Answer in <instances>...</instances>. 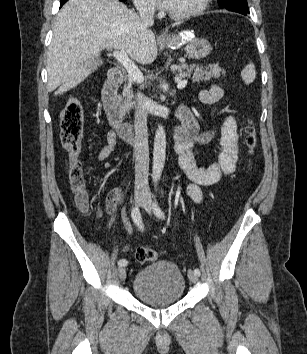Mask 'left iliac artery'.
Listing matches in <instances>:
<instances>
[{
  "label": "left iliac artery",
  "instance_id": "1",
  "mask_svg": "<svg viewBox=\"0 0 307 354\" xmlns=\"http://www.w3.org/2000/svg\"><path fill=\"white\" fill-rule=\"evenodd\" d=\"M153 211H154V214L157 217H159L161 219L165 218V215H164L163 211L161 210V208L159 207V205H158V203L156 201V196H154ZM194 273L199 276L200 275V270L198 268H195L194 269Z\"/></svg>",
  "mask_w": 307,
  "mask_h": 354
}]
</instances>
